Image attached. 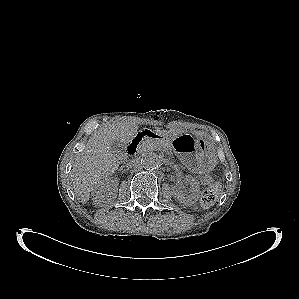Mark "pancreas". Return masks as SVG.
Returning a JSON list of instances; mask_svg holds the SVG:
<instances>
[{
    "mask_svg": "<svg viewBox=\"0 0 299 299\" xmlns=\"http://www.w3.org/2000/svg\"><path fill=\"white\" fill-rule=\"evenodd\" d=\"M171 146L167 142H161L157 140H147L143 144L144 151H156V150H163L169 151Z\"/></svg>",
    "mask_w": 299,
    "mask_h": 299,
    "instance_id": "1",
    "label": "pancreas"
}]
</instances>
